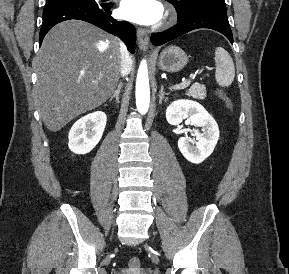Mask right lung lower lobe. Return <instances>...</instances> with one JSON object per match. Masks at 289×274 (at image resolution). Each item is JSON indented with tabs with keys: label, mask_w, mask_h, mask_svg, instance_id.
<instances>
[{
	"label": "right lung lower lobe",
	"mask_w": 289,
	"mask_h": 274,
	"mask_svg": "<svg viewBox=\"0 0 289 274\" xmlns=\"http://www.w3.org/2000/svg\"><path fill=\"white\" fill-rule=\"evenodd\" d=\"M111 3H96L91 1L66 2L45 6L43 22L39 34L41 45L46 33L57 23L70 19H79L98 26L105 31L118 36L134 53L136 43V30L133 25L125 21H116L111 16Z\"/></svg>",
	"instance_id": "98d812e1"
}]
</instances>
